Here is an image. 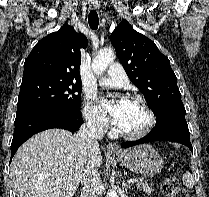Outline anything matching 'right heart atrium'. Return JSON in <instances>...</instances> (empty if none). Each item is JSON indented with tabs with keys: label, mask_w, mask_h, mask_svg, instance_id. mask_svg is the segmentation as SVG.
I'll use <instances>...</instances> for the list:
<instances>
[{
	"label": "right heart atrium",
	"mask_w": 209,
	"mask_h": 197,
	"mask_svg": "<svg viewBox=\"0 0 209 197\" xmlns=\"http://www.w3.org/2000/svg\"><path fill=\"white\" fill-rule=\"evenodd\" d=\"M83 117L87 124L96 131H104L108 127V118L92 96L86 95L84 98Z\"/></svg>",
	"instance_id": "obj_1"
}]
</instances>
